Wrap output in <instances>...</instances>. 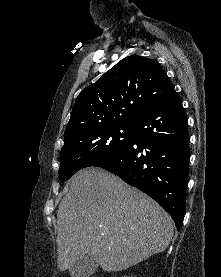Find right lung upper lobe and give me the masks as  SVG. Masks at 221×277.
I'll use <instances>...</instances> for the list:
<instances>
[{
    "label": "right lung upper lobe",
    "instance_id": "obj_1",
    "mask_svg": "<svg viewBox=\"0 0 221 277\" xmlns=\"http://www.w3.org/2000/svg\"><path fill=\"white\" fill-rule=\"evenodd\" d=\"M173 91L172 82L156 60L128 56L78 95L64 141L96 126L133 124Z\"/></svg>",
    "mask_w": 221,
    "mask_h": 277
}]
</instances>
